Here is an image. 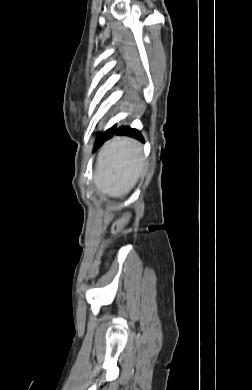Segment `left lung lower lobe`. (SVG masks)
I'll list each match as a JSON object with an SVG mask.
<instances>
[{
  "label": "left lung lower lobe",
  "mask_w": 252,
  "mask_h": 390,
  "mask_svg": "<svg viewBox=\"0 0 252 390\" xmlns=\"http://www.w3.org/2000/svg\"><path fill=\"white\" fill-rule=\"evenodd\" d=\"M114 134L116 135H126L134 137L140 141H143V136L140 134V132L137 129L130 128L127 126H122L118 129H116V125H114L112 128L106 130L104 133L100 134L95 142V148L96 150L98 147L101 146V144L106 141L107 139L111 138Z\"/></svg>",
  "instance_id": "left-lung-lower-lobe-1"
}]
</instances>
